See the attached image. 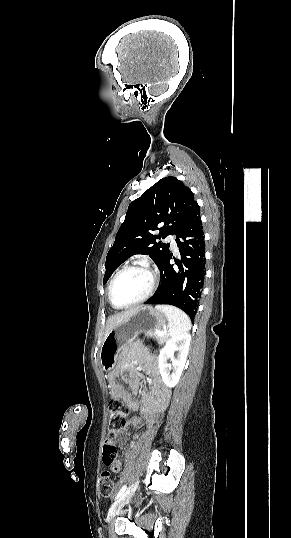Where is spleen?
Listing matches in <instances>:
<instances>
[{
    "label": "spleen",
    "instance_id": "obj_1",
    "mask_svg": "<svg viewBox=\"0 0 291 538\" xmlns=\"http://www.w3.org/2000/svg\"><path fill=\"white\" fill-rule=\"evenodd\" d=\"M156 310L165 314L168 319V335L171 337L179 336L191 329L189 316L181 309L171 305H156Z\"/></svg>",
    "mask_w": 291,
    "mask_h": 538
}]
</instances>
